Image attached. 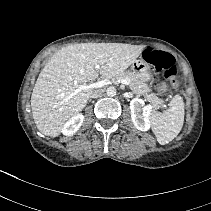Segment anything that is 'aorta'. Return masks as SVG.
<instances>
[{
  "label": "aorta",
  "instance_id": "762f6f07",
  "mask_svg": "<svg viewBox=\"0 0 211 211\" xmlns=\"http://www.w3.org/2000/svg\"><path fill=\"white\" fill-rule=\"evenodd\" d=\"M106 94L109 97H113V96L116 95V89L114 87H108L107 90H106Z\"/></svg>",
  "mask_w": 211,
  "mask_h": 211
}]
</instances>
